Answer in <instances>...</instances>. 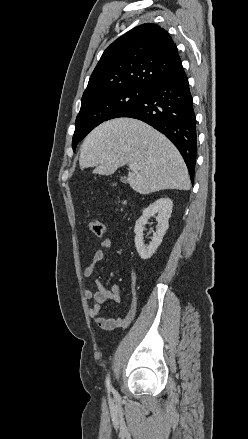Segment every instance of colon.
Masks as SVG:
<instances>
[{
  "label": "colon",
  "instance_id": "5ec220e1",
  "mask_svg": "<svg viewBox=\"0 0 248 439\" xmlns=\"http://www.w3.org/2000/svg\"><path fill=\"white\" fill-rule=\"evenodd\" d=\"M89 228L93 235L101 237L105 232V226L98 217H93L89 222Z\"/></svg>",
  "mask_w": 248,
  "mask_h": 439
}]
</instances>
